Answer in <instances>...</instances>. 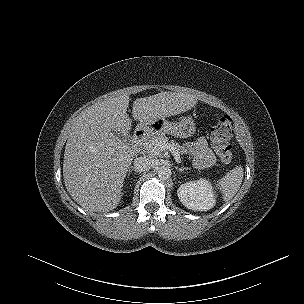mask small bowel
Wrapping results in <instances>:
<instances>
[{"label": "small bowel", "instance_id": "small-bowel-1", "mask_svg": "<svg viewBox=\"0 0 304 304\" xmlns=\"http://www.w3.org/2000/svg\"><path fill=\"white\" fill-rule=\"evenodd\" d=\"M185 149L193 157V162L196 167L202 168L214 162L213 154L203 138L186 144Z\"/></svg>", "mask_w": 304, "mask_h": 304}]
</instances>
